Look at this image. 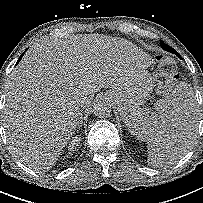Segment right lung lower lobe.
I'll list each match as a JSON object with an SVG mask.
<instances>
[{
	"label": "right lung lower lobe",
	"instance_id": "right-lung-lower-lobe-1",
	"mask_svg": "<svg viewBox=\"0 0 203 203\" xmlns=\"http://www.w3.org/2000/svg\"><path fill=\"white\" fill-rule=\"evenodd\" d=\"M23 54H24V53H23ZM23 54L21 55V57H20V59L18 60V62L21 60V58H22Z\"/></svg>",
	"mask_w": 203,
	"mask_h": 203
}]
</instances>
